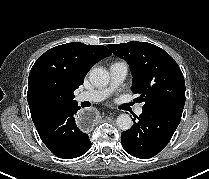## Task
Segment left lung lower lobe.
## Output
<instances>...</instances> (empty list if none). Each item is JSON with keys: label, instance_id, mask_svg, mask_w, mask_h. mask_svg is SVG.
Instances as JSON below:
<instances>
[{"label": "left lung lower lobe", "instance_id": "1", "mask_svg": "<svg viewBox=\"0 0 209 179\" xmlns=\"http://www.w3.org/2000/svg\"><path fill=\"white\" fill-rule=\"evenodd\" d=\"M181 110L143 109L133 127L121 133L123 148L130 155L146 159L158 154L170 141L178 127Z\"/></svg>", "mask_w": 209, "mask_h": 179}]
</instances>
